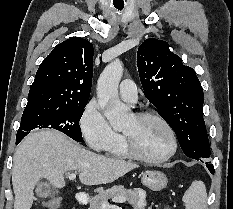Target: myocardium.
Wrapping results in <instances>:
<instances>
[{
  "mask_svg": "<svg viewBox=\"0 0 233 209\" xmlns=\"http://www.w3.org/2000/svg\"><path fill=\"white\" fill-rule=\"evenodd\" d=\"M134 116L138 120L151 118L160 122L169 134L171 145L169 151L165 155L155 158L147 157L137 149L132 138L128 134L123 133L124 145L129 156L147 164H161L170 160L175 155L178 147L177 136L171 124L163 116L151 110L137 112Z\"/></svg>",
  "mask_w": 233,
  "mask_h": 209,
  "instance_id": "obj_1",
  "label": "myocardium"
}]
</instances>
